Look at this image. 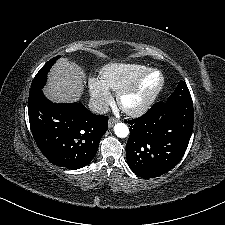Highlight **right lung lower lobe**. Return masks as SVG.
Returning a JSON list of instances; mask_svg holds the SVG:
<instances>
[{
  "instance_id": "1",
  "label": "right lung lower lobe",
  "mask_w": 225,
  "mask_h": 225,
  "mask_svg": "<svg viewBox=\"0 0 225 225\" xmlns=\"http://www.w3.org/2000/svg\"><path fill=\"white\" fill-rule=\"evenodd\" d=\"M29 122L37 146L53 164L68 169L87 165L96 155L108 118L80 103L50 102L41 89L29 93Z\"/></svg>"
}]
</instances>
